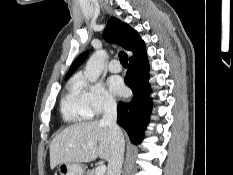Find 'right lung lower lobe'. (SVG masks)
Segmentation results:
<instances>
[{
	"instance_id": "98d812e1",
	"label": "right lung lower lobe",
	"mask_w": 233,
	"mask_h": 175,
	"mask_svg": "<svg viewBox=\"0 0 233 175\" xmlns=\"http://www.w3.org/2000/svg\"><path fill=\"white\" fill-rule=\"evenodd\" d=\"M125 83L133 91L130 102H119L117 123L128 133L132 143H140L152 109L146 52L129 60Z\"/></svg>"
}]
</instances>
